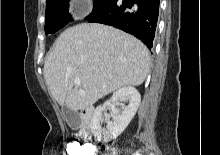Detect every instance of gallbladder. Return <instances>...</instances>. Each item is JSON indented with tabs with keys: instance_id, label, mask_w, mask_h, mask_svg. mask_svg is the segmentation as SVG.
Here are the masks:
<instances>
[{
	"instance_id": "1",
	"label": "gallbladder",
	"mask_w": 220,
	"mask_h": 155,
	"mask_svg": "<svg viewBox=\"0 0 220 155\" xmlns=\"http://www.w3.org/2000/svg\"><path fill=\"white\" fill-rule=\"evenodd\" d=\"M64 116L72 129H77L80 124V117L77 112L67 108H63Z\"/></svg>"
}]
</instances>
